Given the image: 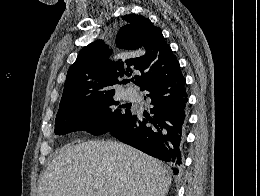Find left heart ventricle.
<instances>
[{
	"mask_svg": "<svg viewBox=\"0 0 260 196\" xmlns=\"http://www.w3.org/2000/svg\"><path fill=\"white\" fill-rule=\"evenodd\" d=\"M54 192H66V190H54Z\"/></svg>",
	"mask_w": 260,
	"mask_h": 196,
	"instance_id": "b2bd125f",
	"label": "left heart ventricle"
}]
</instances>
